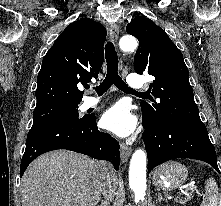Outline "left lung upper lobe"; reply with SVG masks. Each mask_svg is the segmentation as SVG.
<instances>
[{
	"label": "left lung upper lobe",
	"instance_id": "1",
	"mask_svg": "<svg viewBox=\"0 0 221 206\" xmlns=\"http://www.w3.org/2000/svg\"><path fill=\"white\" fill-rule=\"evenodd\" d=\"M126 31L139 40L134 58L135 71L155 77L149 90L158 102L154 100L152 105L140 103L150 125L201 122L183 55L165 31L145 17L133 19Z\"/></svg>",
	"mask_w": 221,
	"mask_h": 206
}]
</instances>
